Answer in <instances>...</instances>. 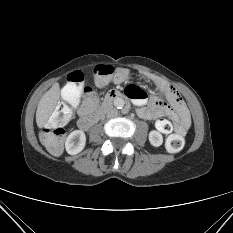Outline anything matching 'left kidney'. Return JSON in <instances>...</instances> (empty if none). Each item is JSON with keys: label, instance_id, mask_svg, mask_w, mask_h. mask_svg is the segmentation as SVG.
I'll return each mask as SVG.
<instances>
[{"label": "left kidney", "instance_id": "left-kidney-1", "mask_svg": "<svg viewBox=\"0 0 233 233\" xmlns=\"http://www.w3.org/2000/svg\"><path fill=\"white\" fill-rule=\"evenodd\" d=\"M149 141L152 146L159 147L163 143V136L158 131L152 130L149 133Z\"/></svg>", "mask_w": 233, "mask_h": 233}]
</instances>
